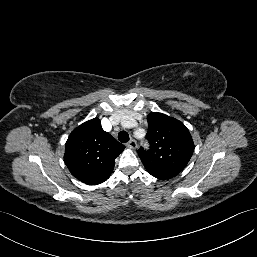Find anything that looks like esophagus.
Wrapping results in <instances>:
<instances>
[{"instance_id":"obj_1","label":"esophagus","mask_w":257,"mask_h":257,"mask_svg":"<svg viewBox=\"0 0 257 257\" xmlns=\"http://www.w3.org/2000/svg\"><path fill=\"white\" fill-rule=\"evenodd\" d=\"M126 146L130 149H135L137 147V143L135 140L132 139L126 144Z\"/></svg>"}]
</instances>
